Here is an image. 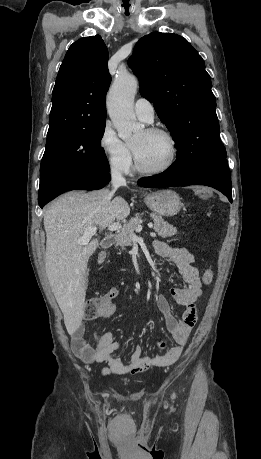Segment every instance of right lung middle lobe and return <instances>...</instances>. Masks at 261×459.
Listing matches in <instances>:
<instances>
[{
  "label": "right lung middle lobe",
  "instance_id": "obj_1",
  "mask_svg": "<svg viewBox=\"0 0 261 459\" xmlns=\"http://www.w3.org/2000/svg\"><path fill=\"white\" fill-rule=\"evenodd\" d=\"M105 124L106 121L88 128L47 134L38 197L69 176L109 172L108 160L101 150Z\"/></svg>",
  "mask_w": 261,
  "mask_h": 459
}]
</instances>
